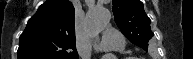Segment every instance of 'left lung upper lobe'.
<instances>
[{
	"instance_id": "left-lung-upper-lobe-1",
	"label": "left lung upper lobe",
	"mask_w": 193,
	"mask_h": 59,
	"mask_svg": "<svg viewBox=\"0 0 193 59\" xmlns=\"http://www.w3.org/2000/svg\"><path fill=\"white\" fill-rule=\"evenodd\" d=\"M114 19L121 32L134 44L148 50L154 33L140 0H113Z\"/></svg>"
}]
</instances>
